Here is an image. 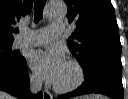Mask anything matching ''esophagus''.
<instances>
[{"mask_svg": "<svg viewBox=\"0 0 128 99\" xmlns=\"http://www.w3.org/2000/svg\"><path fill=\"white\" fill-rule=\"evenodd\" d=\"M53 96L51 95V93L47 90L43 91V99H52Z\"/></svg>", "mask_w": 128, "mask_h": 99, "instance_id": "obj_1", "label": "esophagus"}]
</instances>
